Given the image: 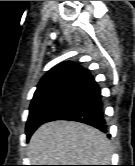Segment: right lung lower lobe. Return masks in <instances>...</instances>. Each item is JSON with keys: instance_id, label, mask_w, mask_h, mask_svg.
<instances>
[{"instance_id": "obj_1", "label": "right lung lower lobe", "mask_w": 135, "mask_h": 166, "mask_svg": "<svg viewBox=\"0 0 135 166\" xmlns=\"http://www.w3.org/2000/svg\"><path fill=\"white\" fill-rule=\"evenodd\" d=\"M67 87L72 95L71 102L67 110L54 120L82 122L107 132L101 92L94 78L88 75Z\"/></svg>"}]
</instances>
